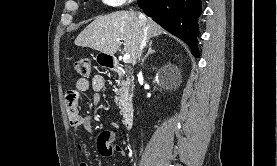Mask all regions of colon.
<instances>
[{"mask_svg": "<svg viewBox=\"0 0 277 166\" xmlns=\"http://www.w3.org/2000/svg\"><path fill=\"white\" fill-rule=\"evenodd\" d=\"M74 68L79 75L86 77L90 74V60L88 58H79L75 61Z\"/></svg>", "mask_w": 277, "mask_h": 166, "instance_id": "obj_1", "label": "colon"}]
</instances>
